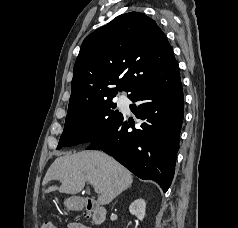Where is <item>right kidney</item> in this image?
I'll return each instance as SVG.
<instances>
[{
    "instance_id": "right-kidney-1",
    "label": "right kidney",
    "mask_w": 238,
    "mask_h": 228,
    "mask_svg": "<svg viewBox=\"0 0 238 228\" xmlns=\"http://www.w3.org/2000/svg\"><path fill=\"white\" fill-rule=\"evenodd\" d=\"M146 202L144 199H137L129 206V211L134 214L138 219L143 220L145 217Z\"/></svg>"
}]
</instances>
